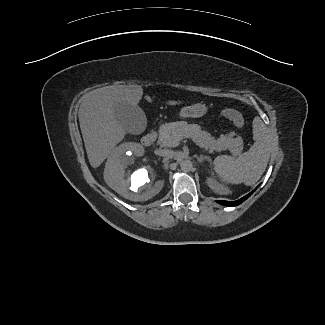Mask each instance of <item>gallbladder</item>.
I'll return each instance as SVG.
<instances>
[{
    "instance_id": "gallbladder-1",
    "label": "gallbladder",
    "mask_w": 325,
    "mask_h": 325,
    "mask_svg": "<svg viewBox=\"0 0 325 325\" xmlns=\"http://www.w3.org/2000/svg\"><path fill=\"white\" fill-rule=\"evenodd\" d=\"M114 114L123 129L131 134L142 133L147 126L144 111L128 103H119L114 106Z\"/></svg>"
}]
</instances>
